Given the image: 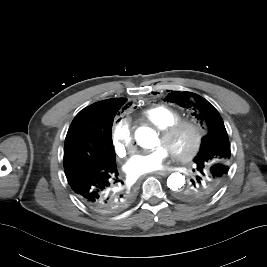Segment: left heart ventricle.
<instances>
[{
	"mask_svg": "<svg viewBox=\"0 0 267 267\" xmlns=\"http://www.w3.org/2000/svg\"><path fill=\"white\" fill-rule=\"evenodd\" d=\"M193 140V132L191 129L185 127L179 130L173 137L163 141L161 137L158 139V143L164 146L168 151L171 149H176L185 152L189 149Z\"/></svg>",
	"mask_w": 267,
	"mask_h": 267,
	"instance_id": "1",
	"label": "left heart ventricle"
}]
</instances>
